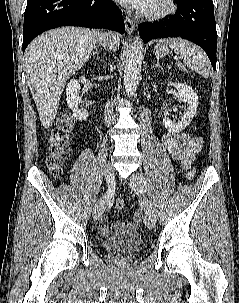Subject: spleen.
Wrapping results in <instances>:
<instances>
[{
    "label": "spleen",
    "instance_id": "obj_1",
    "mask_svg": "<svg viewBox=\"0 0 239 303\" xmlns=\"http://www.w3.org/2000/svg\"><path fill=\"white\" fill-rule=\"evenodd\" d=\"M163 47L169 46L176 54L180 55L187 67L196 71L204 78L210 74V61L206 53L197 45L181 38H167L159 41Z\"/></svg>",
    "mask_w": 239,
    "mask_h": 303
}]
</instances>
